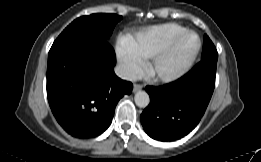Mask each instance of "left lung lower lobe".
Instances as JSON below:
<instances>
[{
    "label": "left lung lower lobe",
    "mask_w": 261,
    "mask_h": 162,
    "mask_svg": "<svg viewBox=\"0 0 261 162\" xmlns=\"http://www.w3.org/2000/svg\"><path fill=\"white\" fill-rule=\"evenodd\" d=\"M216 66V58H205L182 78L145 88L151 101L140 120L151 138L174 141L198 125L214 91Z\"/></svg>",
    "instance_id": "0a47b994"
}]
</instances>
